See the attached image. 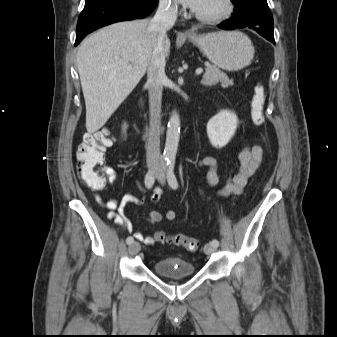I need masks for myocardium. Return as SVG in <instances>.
<instances>
[{"label": "myocardium", "mask_w": 337, "mask_h": 337, "mask_svg": "<svg viewBox=\"0 0 337 337\" xmlns=\"http://www.w3.org/2000/svg\"><path fill=\"white\" fill-rule=\"evenodd\" d=\"M222 9L214 14H205L194 11V16L206 23H220L232 16L235 10L234 0H222Z\"/></svg>", "instance_id": "1"}]
</instances>
